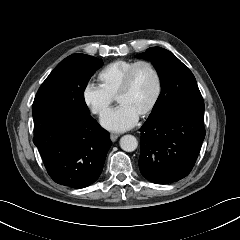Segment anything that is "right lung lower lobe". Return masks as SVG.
<instances>
[{"instance_id": "obj_1", "label": "right lung lower lobe", "mask_w": 240, "mask_h": 240, "mask_svg": "<svg viewBox=\"0 0 240 240\" xmlns=\"http://www.w3.org/2000/svg\"><path fill=\"white\" fill-rule=\"evenodd\" d=\"M32 115L34 144L50 177L76 189L93 184L112 145L109 133L90 114L38 108Z\"/></svg>"}]
</instances>
